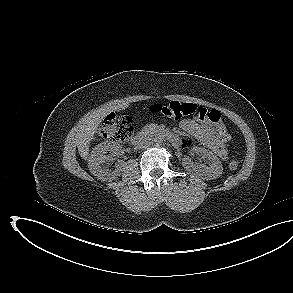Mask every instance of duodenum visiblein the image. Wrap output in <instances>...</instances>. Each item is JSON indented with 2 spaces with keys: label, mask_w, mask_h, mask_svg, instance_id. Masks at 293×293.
Instances as JSON below:
<instances>
[{
  "label": "duodenum",
  "mask_w": 293,
  "mask_h": 293,
  "mask_svg": "<svg viewBox=\"0 0 293 293\" xmlns=\"http://www.w3.org/2000/svg\"><path fill=\"white\" fill-rule=\"evenodd\" d=\"M152 133L167 138L174 146H180V141L174 133L161 128H148L147 130L135 135L131 141L132 145L139 146L144 141V139Z\"/></svg>",
  "instance_id": "duodenum-1"
}]
</instances>
